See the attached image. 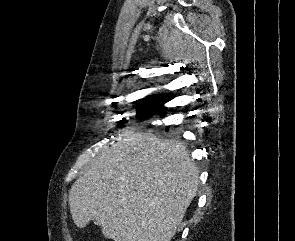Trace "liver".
<instances>
[{
	"label": "liver",
	"instance_id": "1",
	"mask_svg": "<svg viewBox=\"0 0 295 241\" xmlns=\"http://www.w3.org/2000/svg\"><path fill=\"white\" fill-rule=\"evenodd\" d=\"M199 171L185 146L124 130L69 191L75 225L99 221L114 241H171L196 195Z\"/></svg>",
	"mask_w": 295,
	"mask_h": 241
}]
</instances>
